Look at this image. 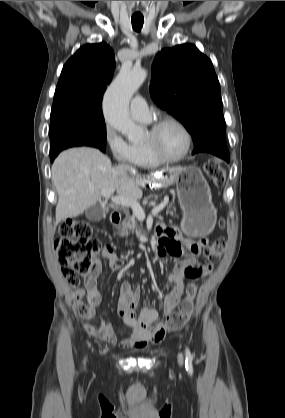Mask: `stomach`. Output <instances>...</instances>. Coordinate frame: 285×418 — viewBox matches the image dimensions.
Wrapping results in <instances>:
<instances>
[{
  "instance_id": "obj_1",
  "label": "stomach",
  "mask_w": 285,
  "mask_h": 418,
  "mask_svg": "<svg viewBox=\"0 0 285 418\" xmlns=\"http://www.w3.org/2000/svg\"><path fill=\"white\" fill-rule=\"evenodd\" d=\"M169 174L176 177L178 201L183 211V232L190 237L209 234L216 223V210L201 170L189 166Z\"/></svg>"
}]
</instances>
